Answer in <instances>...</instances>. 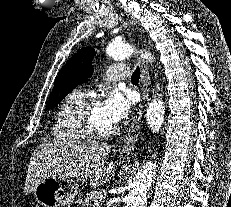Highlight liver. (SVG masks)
Masks as SVG:
<instances>
[{
	"label": "liver",
	"mask_w": 231,
	"mask_h": 207,
	"mask_svg": "<svg viewBox=\"0 0 231 207\" xmlns=\"http://www.w3.org/2000/svg\"><path fill=\"white\" fill-rule=\"evenodd\" d=\"M112 146L93 142H45L33 152L24 186L27 195L45 177L59 175L90 180L100 186L114 176L115 164L106 159Z\"/></svg>",
	"instance_id": "6515ba94"
}]
</instances>
